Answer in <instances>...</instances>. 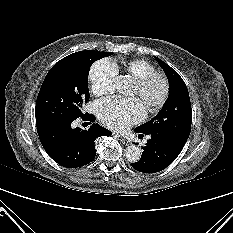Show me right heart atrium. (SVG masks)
<instances>
[{
  "label": "right heart atrium",
  "instance_id": "obj_1",
  "mask_svg": "<svg viewBox=\"0 0 233 233\" xmlns=\"http://www.w3.org/2000/svg\"><path fill=\"white\" fill-rule=\"evenodd\" d=\"M117 74L118 69L113 61L109 59L96 61L89 71L92 92L97 96L112 92Z\"/></svg>",
  "mask_w": 233,
  "mask_h": 233
}]
</instances>
